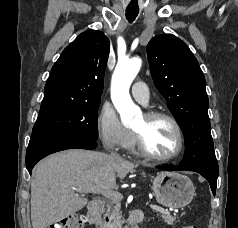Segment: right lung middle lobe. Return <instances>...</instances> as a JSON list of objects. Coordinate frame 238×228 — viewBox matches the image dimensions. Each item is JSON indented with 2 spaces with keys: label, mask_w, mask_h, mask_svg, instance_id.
Wrapping results in <instances>:
<instances>
[{
  "label": "right lung middle lobe",
  "mask_w": 238,
  "mask_h": 228,
  "mask_svg": "<svg viewBox=\"0 0 238 228\" xmlns=\"http://www.w3.org/2000/svg\"><path fill=\"white\" fill-rule=\"evenodd\" d=\"M99 105L100 102L76 104L39 115L32 135L69 134L97 139Z\"/></svg>",
  "instance_id": "1"
}]
</instances>
